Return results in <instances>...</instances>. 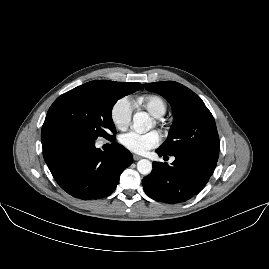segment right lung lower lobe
<instances>
[{
  "mask_svg": "<svg viewBox=\"0 0 269 269\" xmlns=\"http://www.w3.org/2000/svg\"><path fill=\"white\" fill-rule=\"evenodd\" d=\"M41 141L43 157L59 186L83 200L110 195L120 174L133 161L132 154L118 143L107 151L95 147L72 126L45 120Z\"/></svg>",
  "mask_w": 269,
  "mask_h": 269,
  "instance_id": "1",
  "label": "right lung lower lobe"
}]
</instances>
